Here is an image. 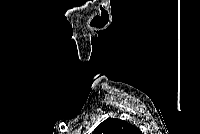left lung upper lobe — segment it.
<instances>
[{
	"label": "left lung upper lobe",
	"mask_w": 200,
	"mask_h": 134,
	"mask_svg": "<svg viewBox=\"0 0 200 134\" xmlns=\"http://www.w3.org/2000/svg\"><path fill=\"white\" fill-rule=\"evenodd\" d=\"M140 130L124 120L108 118L99 124L93 134H140Z\"/></svg>",
	"instance_id": "5c2ea615"
}]
</instances>
